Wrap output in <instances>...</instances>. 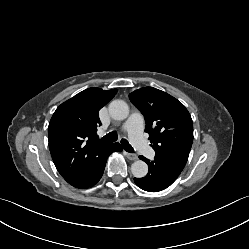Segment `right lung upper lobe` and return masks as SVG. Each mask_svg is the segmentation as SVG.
<instances>
[{"label":"right lung upper lobe","instance_id":"obj_1","mask_svg":"<svg viewBox=\"0 0 249 249\" xmlns=\"http://www.w3.org/2000/svg\"><path fill=\"white\" fill-rule=\"evenodd\" d=\"M117 90L88 88L62 103L48 127L49 149L62 177L72 186L79 182L92 165L98 152L110 143L99 139V110Z\"/></svg>","mask_w":249,"mask_h":249}]
</instances>
